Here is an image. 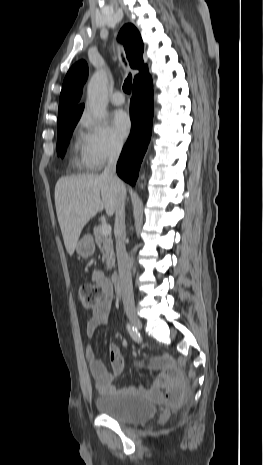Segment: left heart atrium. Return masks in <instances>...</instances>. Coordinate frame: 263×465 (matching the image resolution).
I'll return each instance as SVG.
<instances>
[{
    "label": "left heart atrium",
    "instance_id": "39dd6f15",
    "mask_svg": "<svg viewBox=\"0 0 263 465\" xmlns=\"http://www.w3.org/2000/svg\"><path fill=\"white\" fill-rule=\"evenodd\" d=\"M112 125L120 138H126L132 127L129 115L123 110H118L113 114Z\"/></svg>",
    "mask_w": 263,
    "mask_h": 465
}]
</instances>
